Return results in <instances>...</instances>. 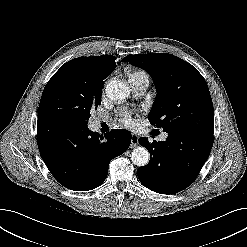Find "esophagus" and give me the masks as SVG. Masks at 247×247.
Wrapping results in <instances>:
<instances>
[{"label":"esophagus","mask_w":247,"mask_h":247,"mask_svg":"<svg viewBox=\"0 0 247 247\" xmlns=\"http://www.w3.org/2000/svg\"><path fill=\"white\" fill-rule=\"evenodd\" d=\"M138 140H139V137L137 134L135 133H132L131 135V147H136L138 145Z\"/></svg>","instance_id":"34e87169"}]
</instances>
